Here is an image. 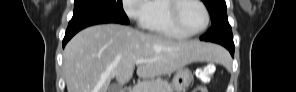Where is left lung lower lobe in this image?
Here are the masks:
<instances>
[{
  "label": "left lung lower lobe",
  "mask_w": 296,
  "mask_h": 92,
  "mask_svg": "<svg viewBox=\"0 0 296 92\" xmlns=\"http://www.w3.org/2000/svg\"><path fill=\"white\" fill-rule=\"evenodd\" d=\"M200 39L203 40L202 37ZM222 45L230 51L232 56H234V49H235L234 44H227L226 43V44H222Z\"/></svg>",
  "instance_id": "left-lung-lower-lobe-1"
}]
</instances>
